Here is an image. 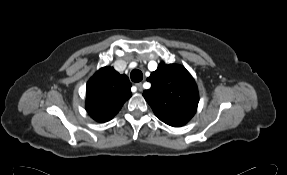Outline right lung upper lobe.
<instances>
[{
	"instance_id": "1",
	"label": "right lung upper lobe",
	"mask_w": 287,
	"mask_h": 175,
	"mask_svg": "<svg viewBox=\"0 0 287 175\" xmlns=\"http://www.w3.org/2000/svg\"><path fill=\"white\" fill-rule=\"evenodd\" d=\"M131 83L112 67L99 69L87 84L86 109L98 122L111 120L131 97Z\"/></svg>"
}]
</instances>
